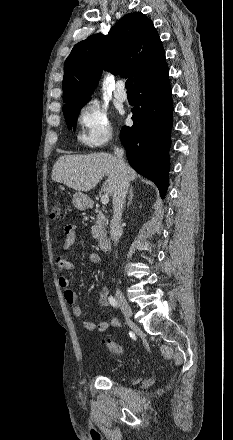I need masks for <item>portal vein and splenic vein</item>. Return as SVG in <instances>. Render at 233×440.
Wrapping results in <instances>:
<instances>
[{
	"instance_id": "portal-vein-and-splenic-vein-1",
	"label": "portal vein and splenic vein",
	"mask_w": 233,
	"mask_h": 440,
	"mask_svg": "<svg viewBox=\"0 0 233 440\" xmlns=\"http://www.w3.org/2000/svg\"><path fill=\"white\" fill-rule=\"evenodd\" d=\"M101 202H102L103 205L108 204V202H109V196H108L107 193H105V194H103V195L101 196Z\"/></svg>"
}]
</instances>
